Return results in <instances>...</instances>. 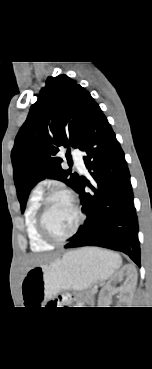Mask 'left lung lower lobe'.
I'll return each instance as SVG.
<instances>
[{
    "label": "left lung lower lobe",
    "mask_w": 152,
    "mask_h": 369,
    "mask_svg": "<svg viewBox=\"0 0 152 369\" xmlns=\"http://www.w3.org/2000/svg\"><path fill=\"white\" fill-rule=\"evenodd\" d=\"M80 150L91 179L79 178L84 225L65 248L99 246L121 251L140 266L138 220L124 152L100 107L95 111ZM88 186L91 191L85 192Z\"/></svg>",
    "instance_id": "left-lung-lower-lobe-1"
}]
</instances>
